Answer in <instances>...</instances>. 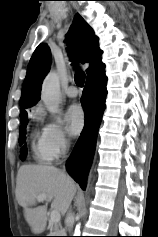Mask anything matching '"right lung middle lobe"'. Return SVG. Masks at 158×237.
Segmentation results:
<instances>
[{"label": "right lung middle lobe", "instance_id": "obj_1", "mask_svg": "<svg viewBox=\"0 0 158 237\" xmlns=\"http://www.w3.org/2000/svg\"><path fill=\"white\" fill-rule=\"evenodd\" d=\"M21 121H22V125L20 127V138H19V142L22 144L25 142L26 140V133H25V125H26V121H27V116L25 117H21ZM27 155V147L23 146L21 149V154H20V158L24 159Z\"/></svg>", "mask_w": 158, "mask_h": 237}]
</instances>
